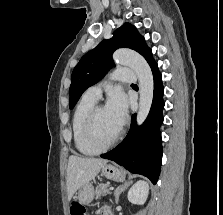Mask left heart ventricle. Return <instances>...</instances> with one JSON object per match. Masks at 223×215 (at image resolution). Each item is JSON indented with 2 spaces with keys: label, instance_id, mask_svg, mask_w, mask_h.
Wrapping results in <instances>:
<instances>
[{
  "label": "left heart ventricle",
  "instance_id": "left-heart-ventricle-1",
  "mask_svg": "<svg viewBox=\"0 0 223 215\" xmlns=\"http://www.w3.org/2000/svg\"><path fill=\"white\" fill-rule=\"evenodd\" d=\"M119 128L113 118L106 112L105 108L99 111L96 118L95 133L100 144L106 145L111 142Z\"/></svg>",
  "mask_w": 223,
  "mask_h": 215
}]
</instances>
